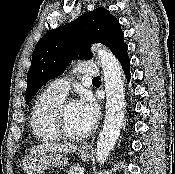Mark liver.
I'll use <instances>...</instances> for the list:
<instances>
[{"label": "liver", "mask_w": 175, "mask_h": 174, "mask_svg": "<svg viewBox=\"0 0 175 174\" xmlns=\"http://www.w3.org/2000/svg\"><path fill=\"white\" fill-rule=\"evenodd\" d=\"M78 149L77 145L71 143H46L42 145H37L31 148V153L38 152V151H49V152H58V153H71L75 152Z\"/></svg>", "instance_id": "obj_1"}]
</instances>
